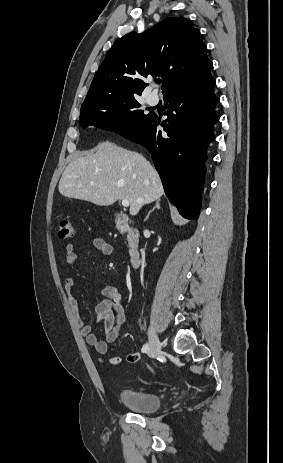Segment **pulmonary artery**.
<instances>
[{
	"label": "pulmonary artery",
	"instance_id": "pulmonary-artery-1",
	"mask_svg": "<svg viewBox=\"0 0 283 463\" xmlns=\"http://www.w3.org/2000/svg\"><path fill=\"white\" fill-rule=\"evenodd\" d=\"M159 101H160L159 96H158L156 93H154V92L151 93V94L147 97V102H148V104L151 105V106H156V105H158Z\"/></svg>",
	"mask_w": 283,
	"mask_h": 463
}]
</instances>
